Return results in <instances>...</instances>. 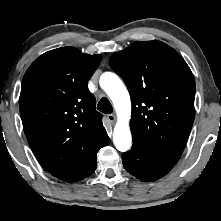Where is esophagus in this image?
Wrapping results in <instances>:
<instances>
[{
	"instance_id": "34e87169",
	"label": "esophagus",
	"mask_w": 221,
	"mask_h": 221,
	"mask_svg": "<svg viewBox=\"0 0 221 221\" xmlns=\"http://www.w3.org/2000/svg\"><path fill=\"white\" fill-rule=\"evenodd\" d=\"M107 119L110 123L114 124L116 121V116L114 114H108Z\"/></svg>"
}]
</instances>
